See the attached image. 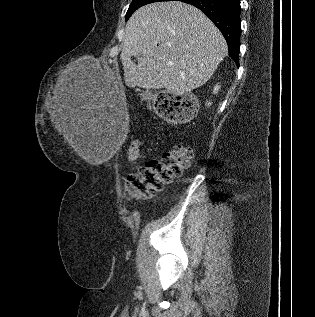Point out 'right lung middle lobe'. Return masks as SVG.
<instances>
[{
	"instance_id": "obj_1",
	"label": "right lung middle lobe",
	"mask_w": 315,
	"mask_h": 317,
	"mask_svg": "<svg viewBox=\"0 0 315 317\" xmlns=\"http://www.w3.org/2000/svg\"><path fill=\"white\" fill-rule=\"evenodd\" d=\"M160 1H175V0H132V3L130 4L129 9L126 13V21L141 6H144L149 3L160 2Z\"/></svg>"
}]
</instances>
